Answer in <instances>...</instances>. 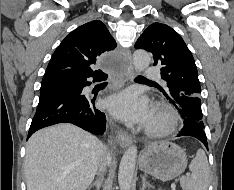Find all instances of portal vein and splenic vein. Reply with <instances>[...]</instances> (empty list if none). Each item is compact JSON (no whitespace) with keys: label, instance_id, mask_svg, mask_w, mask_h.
<instances>
[{"label":"portal vein and splenic vein","instance_id":"obj_1","mask_svg":"<svg viewBox=\"0 0 234 190\" xmlns=\"http://www.w3.org/2000/svg\"><path fill=\"white\" fill-rule=\"evenodd\" d=\"M173 190H175V186H173Z\"/></svg>","mask_w":234,"mask_h":190}]
</instances>
